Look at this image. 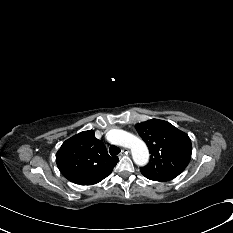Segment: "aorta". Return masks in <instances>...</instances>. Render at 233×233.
I'll use <instances>...</instances> for the list:
<instances>
[{"label": "aorta", "instance_id": "obj_1", "mask_svg": "<svg viewBox=\"0 0 233 233\" xmlns=\"http://www.w3.org/2000/svg\"><path fill=\"white\" fill-rule=\"evenodd\" d=\"M111 143L129 148L135 164L144 166L149 160V151L145 142L137 136L120 129H112L108 133Z\"/></svg>", "mask_w": 233, "mask_h": 233}]
</instances>
